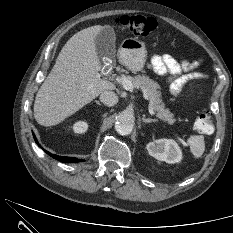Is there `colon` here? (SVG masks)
<instances>
[{
	"mask_svg": "<svg viewBox=\"0 0 233 233\" xmlns=\"http://www.w3.org/2000/svg\"><path fill=\"white\" fill-rule=\"evenodd\" d=\"M116 22L124 31L138 36H147L157 27L154 18L141 15H124L117 18ZM194 127L199 133L211 134L214 131L211 115L207 111L199 114Z\"/></svg>",
	"mask_w": 233,
	"mask_h": 233,
	"instance_id": "obj_1",
	"label": "colon"
}]
</instances>
